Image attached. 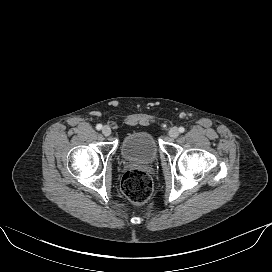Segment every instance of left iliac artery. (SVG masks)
I'll list each match as a JSON object with an SVG mask.
<instances>
[{
  "mask_svg": "<svg viewBox=\"0 0 272 272\" xmlns=\"http://www.w3.org/2000/svg\"><path fill=\"white\" fill-rule=\"evenodd\" d=\"M179 131H180L181 133H183V132L185 131V128H184V127H180V128H179Z\"/></svg>",
  "mask_w": 272,
  "mask_h": 272,
  "instance_id": "left-iliac-artery-1",
  "label": "left iliac artery"
}]
</instances>
